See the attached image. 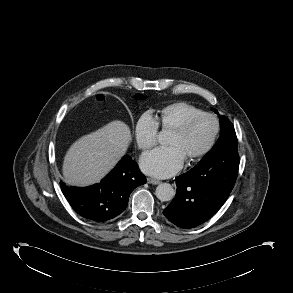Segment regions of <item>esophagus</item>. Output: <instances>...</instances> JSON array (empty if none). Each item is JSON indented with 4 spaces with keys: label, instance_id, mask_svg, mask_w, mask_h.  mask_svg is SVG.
Listing matches in <instances>:
<instances>
[{
    "label": "esophagus",
    "instance_id": "obj_1",
    "mask_svg": "<svg viewBox=\"0 0 293 293\" xmlns=\"http://www.w3.org/2000/svg\"><path fill=\"white\" fill-rule=\"evenodd\" d=\"M148 183L153 184V185H158L160 184V181L158 179L155 178H147Z\"/></svg>",
    "mask_w": 293,
    "mask_h": 293
}]
</instances>
